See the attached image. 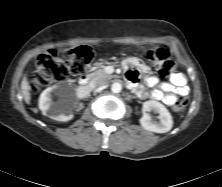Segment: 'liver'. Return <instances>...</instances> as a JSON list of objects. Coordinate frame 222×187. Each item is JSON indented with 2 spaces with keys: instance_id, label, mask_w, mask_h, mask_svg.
Here are the masks:
<instances>
[{
  "instance_id": "liver-1",
  "label": "liver",
  "mask_w": 222,
  "mask_h": 187,
  "mask_svg": "<svg viewBox=\"0 0 222 187\" xmlns=\"http://www.w3.org/2000/svg\"><path fill=\"white\" fill-rule=\"evenodd\" d=\"M21 91L23 98L27 104H30L31 100V94H30V85L27 79V76L25 75L21 82Z\"/></svg>"
}]
</instances>
